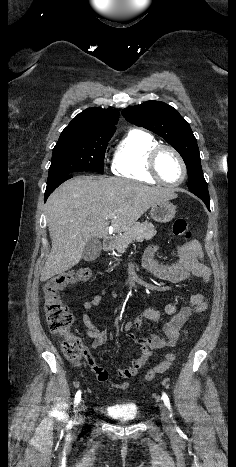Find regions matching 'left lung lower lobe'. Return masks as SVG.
<instances>
[{
  "label": "left lung lower lobe",
  "instance_id": "0a47b994",
  "mask_svg": "<svg viewBox=\"0 0 236 467\" xmlns=\"http://www.w3.org/2000/svg\"><path fill=\"white\" fill-rule=\"evenodd\" d=\"M190 192L198 196L206 204L207 208L210 210V198H209L208 188L190 190Z\"/></svg>",
  "mask_w": 236,
  "mask_h": 467
}]
</instances>
